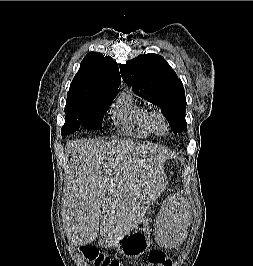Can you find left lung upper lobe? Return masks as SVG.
I'll list each match as a JSON object with an SVG mask.
<instances>
[{"instance_id":"5c2ea615","label":"left lung upper lobe","mask_w":253,"mask_h":266,"mask_svg":"<svg viewBox=\"0 0 253 266\" xmlns=\"http://www.w3.org/2000/svg\"><path fill=\"white\" fill-rule=\"evenodd\" d=\"M120 70L124 82L136 95L161 108L174 133L186 129L184 87L162 56L139 55L121 65Z\"/></svg>"}]
</instances>
